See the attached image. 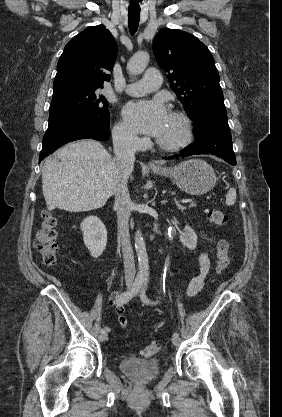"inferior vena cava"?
Masks as SVG:
<instances>
[{
  "label": "inferior vena cava",
  "mask_w": 282,
  "mask_h": 417,
  "mask_svg": "<svg viewBox=\"0 0 282 417\" xmlns=\"http://www.w3.org/2000/svg\"><path fill=\"white\" fill-rule=\"evenodd\" d=\"M114 162L116 164V186H114L115 204L117 211L118 237L124 263L125 281H135V259L131 247L129 233V217L132 202L129 196L127 180L133 170L134 152L137 148L136 140L129 132L113 130Z\"/></svg>",
  "instance_id": "obj_1"
}]
</instances>
